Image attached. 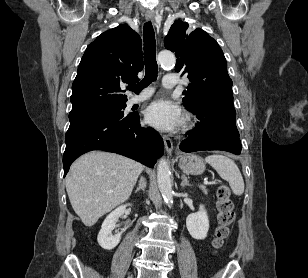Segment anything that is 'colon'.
Segmentation results:
<instances>
[{"instance_id":"1","label":"colon","mask_w":308,"mask_h":278,"mask_svg":"<svg viewBox=\"0 0 308 278\" xmlns=\"http://www.w3.org/2000/svg\"><path fill=\"white\" fill-rule=\"evenodd\" d=\"M216 208L218 211L215 238L213 246L221 248L230 235L231 225L235 220L234 205L231 200V193L227 186H221L217 191Z\"/></svg>"}]
</instances>
